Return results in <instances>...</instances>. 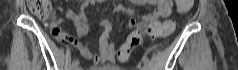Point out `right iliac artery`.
Listing matches in <instances>:
<instances>
[{"label": "right iliac artery", "instance_id": "82829eb1", "mask_svg": "<svg viewBox=\"0 0 238 70\" xmlns=\"http://www.w3.org/2000/svg\"><path fill=\"white\" fill-rule=\"evenodd\" d=\"M79 65V61L78 60H74L73 62H72V66L73 67H77Z\"/></svg>", "mask_w": 238, "mask_h": 70}]
</instances>
